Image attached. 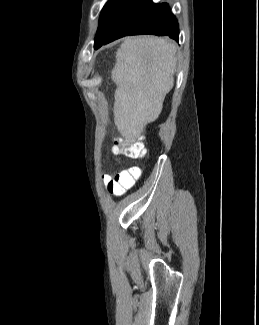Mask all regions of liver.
<instances>
[{
  "instance_id": "obj_1",
  "label": "liver",
  "mask_w": 259,
  "mask_h": 325,
  "mask_svg": "<svg viewBox=\"0 0 259 325\" xmlns=\"http://www.w3.org/2000/svg\"><path fill=\"white\" fill-rule=\"evenodd\" d=\"M176 45L162 37H127L116 52L114 121L121 136L135 142L155 121L174 85Z\"/></svg>"
}]
</instances>
